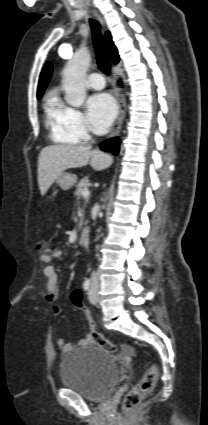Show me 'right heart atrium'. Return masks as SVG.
I'll use <instances>...</instances> for the list:
<instances>
[{
	"instance_id": "right-heart-atrium-1",
	"label": "right heart atrium",
	"mask_w": 208,
	"mask_h": 425,
	"mask_svg": "<svg viewBox=\"0 0 208 425\" xmlns=\"http://www.w3.org/2000/svg\"><path fill=\"white\" fill-rule=\"evenodd\" d=\"M64 121L67 129L78 142H86L90 139L88 126L82 112L71 107H64Z\"/></svg>"
}]
</instances>
